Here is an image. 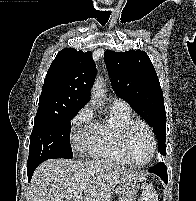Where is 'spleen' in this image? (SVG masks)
I'll list each match as a JSON object with an SVG mask.
<instances>
[{
    "instance_id": "spleen-1",
    "label": "spleen",
    "mask_w": 196,
    "mask_h": 201,
    "mask_svg": "<svg viewBox=\"0 0 196 201\" xmlns=\"http://www.w3.org/2000/svg\"><path fill=\"white\" fill-rule=\"evenodd\" d=\"M141 201H158V195L152 185L146 186L142 193Z\"/></svg>"
}]
</instances>
